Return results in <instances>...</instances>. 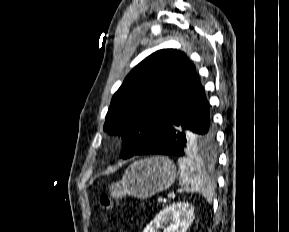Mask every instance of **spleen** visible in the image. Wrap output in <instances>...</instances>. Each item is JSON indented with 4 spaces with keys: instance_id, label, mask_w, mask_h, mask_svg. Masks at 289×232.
Masks as SVG:
<instances>
[{
    "instance_id": "spleen-1",
    "label": "spleen",
    "mask_w": 289,
    "mask_h": 232,
    "mask_svg": "<svg viewBox=\"0 0 289 232\" xmlns=\"http://www.w3.org/2000/svg\"><path fill=\"white\" fill-rule=\"evenodd\" d=\"M180 185L186 192H198L208 201L212 202L214 186L200 164L189 158H179Z\"/></svg>"
}]
</instances>
